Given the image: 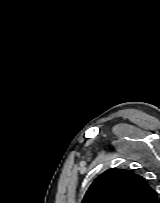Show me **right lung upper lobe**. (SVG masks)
<instances>
[{
    "label": "right lung upper lobe",
    "mask_w": 160,
    "mask_h": 203,
    "mask_svg": "<svg viewBox=\"0 0 160 203\" xmlns=\"http://www.w3.org/2000/svg\"><path fill=\"white\" fill-rule=\"evenodd\" d=\"M156 203L155 192L142 176L109 169L91 184L82 203Z\"/></svg>",
    "instance_id": "right-lung-upper-lobe-1"
}]
</instances>
